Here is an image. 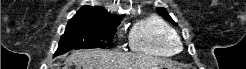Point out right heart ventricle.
Listing matches in <instances>:
<instances>
[{
	"label": "right heart ventricle",
	"instance_id": "e07e8e85",
	"mask_svg": "<svg viewBox=\"0 0 246 69\" xmlns=\"http://www.w3.org/2000/svg\"><path fill=\"white\" fill-rule=\"evenodd\" d=\"M129 45L133 51L156 56H169L181 48L175 29L156 14L135 23L129 34Z\"/></svg>",
	"mask_w": 246,
	"mask_h": 69
}]
</instances>
